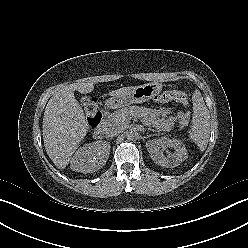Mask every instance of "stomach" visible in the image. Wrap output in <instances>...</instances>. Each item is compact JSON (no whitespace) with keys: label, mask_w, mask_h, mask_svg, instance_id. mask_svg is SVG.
<instances>
[{"label":"stomach","mask_w":248,"mask_h":248,"mask_svg":"<svg viewBox=\"0 0 248 248\" xmlns=\"http://www.w3.org/2000/svg\"><path fill=\"white\" fill-rule=\"evenodd\" d=\"M161 90L162 85L158 82L146 83L136 86L124 94L112 96L106 104L109 108L117 109L133 103H143L159 94Z\"/></svg>","instance_id":"1"}]
</instances>
